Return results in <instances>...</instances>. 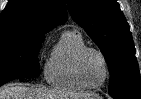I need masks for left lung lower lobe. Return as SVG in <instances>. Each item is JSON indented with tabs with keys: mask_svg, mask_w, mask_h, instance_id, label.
Returning a JSON list of instances; mask_svg holds the SVG:
<instances>
[{
	"mask_svg": "<svg viewBox=\"0 0 141 99\" xmlns=\"http://www.w3.org/2000/svg\"><path fill=\"white\" fill-rule=\"evenodd\" d=\"M114 99H141V93L123 92V93H109Z\"/></svg>",
	"mask_w": 141,
	"mask_h": 99,
	"instance_id": "left-lung-lower-lobe-1",
	"label": "left lung lower lobe"
}]
</instances>
